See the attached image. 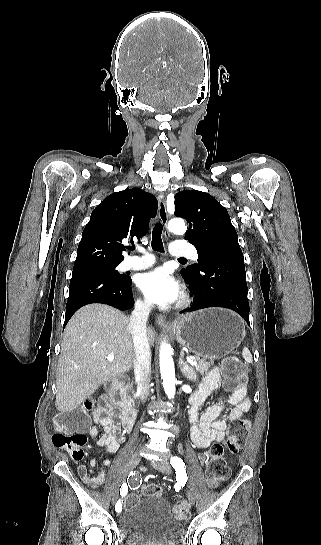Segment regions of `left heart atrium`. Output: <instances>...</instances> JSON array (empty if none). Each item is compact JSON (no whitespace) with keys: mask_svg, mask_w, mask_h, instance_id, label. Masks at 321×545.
I'll return each mask as SVG.
<instances>
[{"mask_svg":"<svg viewBox=\"0 0 321 545\" xmlns=\"http://www.w3.org/2000/svg\"><path fill=\"white\" fill-rule=\"evenodd\" d=\"M137 286L150 302L161 308L179 301L183 291L179 282L165 268H157L142 274Z\"/></svg>","mask_w":321,"mask_h":545,"instance_id":"1","label":"left heart atrium"}]
</instances>
